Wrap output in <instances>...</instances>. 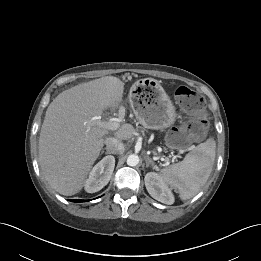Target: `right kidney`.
Instances as JSON below:
<instances>
[{"label": "right kidney", "mask_w": 261, "mask_h": 261, "mask_svg": "<svg viewBox=\"0 0 261 261\" xmlns=\"http://www.w3.org/2000/svg\"><path fill=\"white\" fill-rule=\"evenodd\" d=\"M115 167V158L111 155L104 157L91 170L85 182V190L88 193H95L106 186L112 176Z\"/></svg>", "instance_id": "ca27d5eb"}]
</instances>
